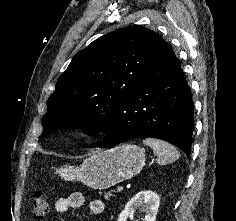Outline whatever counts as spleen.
I'll return each instance as SVG.
<instances>
[{"instance_id": "obj_1", "label": "spleen", "mask_w": 236, "mask_h": 221, "mask_svg": "<svg viewBox=\"0 0 236 221\" xmlns=\"http://www.w3.org/2000/svg\"><path fill=\"white\" fill-rule=\"evenodd\" d=\"M143 144L152 148L153 152L158 156L157 163L160 165L172 163L180 157L176 148L168 142L155 138H146L143 140Z\"/></svg>"}]
</instances>
